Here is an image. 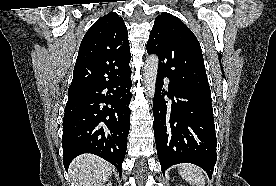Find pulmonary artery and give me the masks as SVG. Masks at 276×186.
Listing matches in <instances>:
<instances>
[{
    "instance_id": "obj_1",
    "label": "pulmonary artery",
    "mask_w": 276,
    "mask_h": 186,
    "mask_svg": "<svg viewBox=\"0 0 276 186\" xmlns=\"http://www.w3.org/2000/svg\"><path fill=\"white\" fill-rule=\"evenodd\" d=\"M165 81H166V83L168 84V82H169L168 79H166Z\"/></svg>"
}]
</instances>
